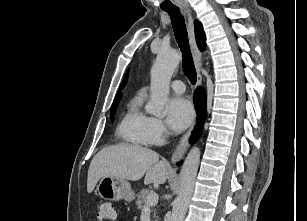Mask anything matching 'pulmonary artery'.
<instances>
[{
  "label": "pulmonary artery",
  "instance_id": "obj_1",
  "mask_svg": "<svg viewBox=\"0 0 307 221\" xmlns=\"http://www.w3.org/2000/svg\"><path fill=\"white\" fill-rule=\"evenodd\" d=\"M171 89L177 93V94H182L185 91V85L182 81L180 80H175L171 83L170 85Z\"/></svg>",
  "mask_w": 307,
  "mask_h": 221
}]
</instances>
